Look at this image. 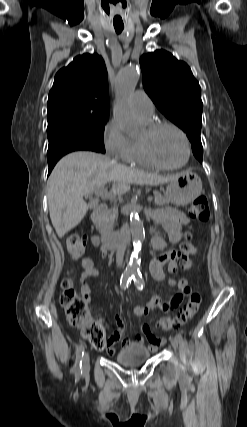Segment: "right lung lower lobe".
I'll use <instances>...</instances> for the list:
<instances>
[{
    "instance_id": "obj_1",
    "label": "right lung lower lobe",
    "mask_w": 247,
    "mask_h": 427,
    "mask_svg": "<svg viewBox=\"0 0 247 427\" xmlns=\"http://www.w3.org/2000/svg\"><path fill=\"white\" fill-rule=\"evenodd\" d=\"M78 150H89L100 152L93 145L74 139V138H55L49 140L48 152H47V161H48V175L52 171L53 167L57 163V161L64 156L65 154Z\"/></svg>"
}]
</instances>
